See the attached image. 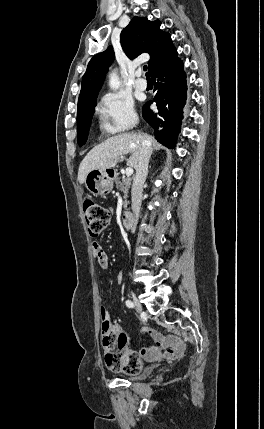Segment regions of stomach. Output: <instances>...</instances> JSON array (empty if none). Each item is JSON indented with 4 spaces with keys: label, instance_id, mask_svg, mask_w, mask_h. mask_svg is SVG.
<instances>
[{
    "label": "stomach",
    "instance_id": "0dacf381",
    "mask_svg": "<svg viewBox=\"0 0 264 429\" xmlns=\"http://www.w3.org/2000/svg\"><path fill=\"white\" fill-rule=\"evenodd\" d=\"M115 178L116 172L111 168L91 170L86 176L85 186L94 196H105L113 188Z\"/></svg>",
    "mask_w": 264,
    "mask_h": 429
}]
</instances>
